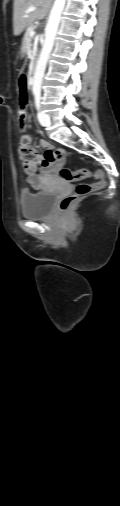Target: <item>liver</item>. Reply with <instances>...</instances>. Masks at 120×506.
Masks as SVG:
<instances>
[{"instance_id": "liver-1", "label": "liver", "mask_w": 120, "mask_h": 506, "mask_svg": "<svg viewBox=\"0 0 120 506\" xmlns=\"http://www.w3.org/2000/svg\"><path fill=\"white\" fill-rule=\"evenodd\" d=\"M52 0H14L13 29L14 35H20L35 20H42L48 13ZM29 7L36 10L26 13Z\"/></svg>"}]
</instances>
